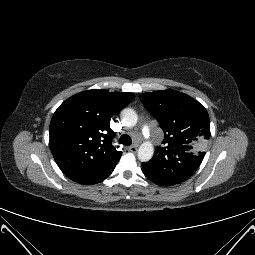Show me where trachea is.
Returning <instances> with one entry per match:
<instances>
[{
  "mask_svg": "<svg viewBox=\"0 0 255 255\" xmlns=\"http://www.w3.org/2000/svg\"><path fill=\"white\" fill-rule=\"evenodd\" d=\"M119 143L125 146H130L132 144L131 137L129 135L124 134L119 138Z\"/></svg>",
  "mask_w": 255,
  "mask_h": 255,
  "instance_id": "3493384b",
  "label": "trachea"
}]
</instances>
